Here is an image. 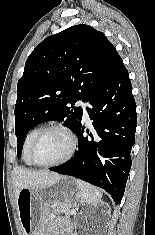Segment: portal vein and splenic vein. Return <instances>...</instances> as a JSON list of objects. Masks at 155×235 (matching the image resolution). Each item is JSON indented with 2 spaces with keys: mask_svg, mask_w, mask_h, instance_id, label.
<instances>
[{
  "mask_svg": "<svg viewBox=\"0 0 155 235\" xmlns=\"http://www.w3.org/2000/svg\"><path fill=\"white\" fill-rule=\"evenodd\" d=\"M76 211L74 209L71 210V214H75Z\"/></svg>",
  "mask_w": 155,
  "mask_h": 235,
  "instance_id": "1",
  "label": "portal vein and splenic vein"
}]
</instances>
